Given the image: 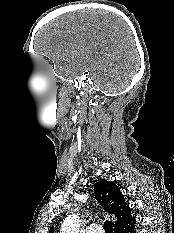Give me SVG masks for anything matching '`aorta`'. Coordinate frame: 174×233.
Wrapping results in <instances>:
<instances>
[{"mask_svg": "<svg viewBox=\"0 0 174 233\" xmlns=\"http://www.w3.org/2000/svg\"><path fill=\"white\" fill-rule=\"evenodd\" d=\"M80 221L75 214L69 215L63 221L60 233H79Z\"/></svg>", "mask_w": 174, "mask_h": 233, "instance_id": "aorta-1", "label": "aorta"}]
</instances>
